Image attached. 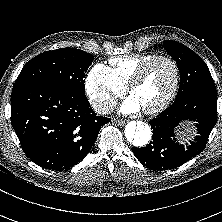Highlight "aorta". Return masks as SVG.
Here are the masks:
<instances>
[{
	"label": "aorta",
	"instance_id": "762f6f07",
	"mask_svg": "<svg viewBox=\"0 0 222 222\" xmlns=\"http://www.w3.org/2000/svg\"><path fill=\"white\" fill-rule=\"evenodd\" d=\"M150 126L142 121L129 122L124 130L125 141L134 147H144L151 140Z\"/></svg>",
	"mask_w": 222,
	"mask_h": 222
}]
</instances>
